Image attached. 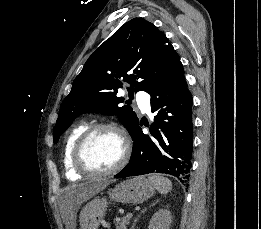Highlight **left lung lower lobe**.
<instances>
[{
	"label": "left lung lower lobe",
	"mask_w": 261,
	"mask_h": 229,
	"mask_svg": "<svg viewBox=\"0 0 261 229\" xmlns=\"http://www.w3.org/2000/svg\"><path fill=\"white\" fill-rule=\"evenodd\" d=\"M149 94L152 112H157L149 128L152 137L143 134L138 123L131 135L134 143L130 162L114 177L158 172L179 180L188 178L192 167L193 98L182 63L161 78Z\"/></svg>",
	"instance_id": "0a47b994"
}]
</instances>
